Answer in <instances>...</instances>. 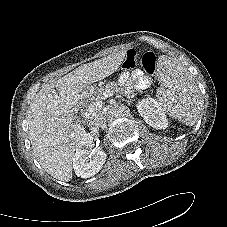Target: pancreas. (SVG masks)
I'll return each instance as SVG.
<instances>
[{
	"instance_id": "1",
	"label": "pancreas",
	"mask_w": 227,
	"mask_h": 227,
	"mask_svg": "<svg viewBox=\"0 0 227 227\" xmlns=\"http://www.w3.org/2000/svg\"><path fill=\"white\" fill-rule=\"evenodd\" d=\"M107 91H110L113 94L114 92L119 91V88L115 82H109L98 89H90L89 92L87 93V98L89 100V107L97 100H100V99L103 100L104 99L103 93ZM99 110H97L96 112H98Z\"/></svg>"
}]
</instances>
